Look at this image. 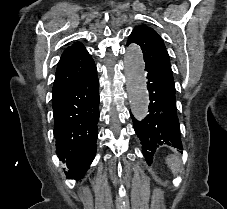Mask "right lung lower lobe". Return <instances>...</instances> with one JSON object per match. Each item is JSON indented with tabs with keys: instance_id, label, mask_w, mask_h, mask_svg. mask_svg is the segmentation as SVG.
Segmentation results:
<instances>
[{
	"instance_id": "98d812e1",
	"label": "right lung lower lobe",
	"mask_w": 227,
	"mask_h": 209,
	"mask_svg": "<svg viewBox=\"0 0 227 209\" xmlns=\"http://www.w3.org/2000/svg\"><path fill=\"white\" fill-rule=\"evenodd\" d=\"M79 79L60 95L52 97L56 153L66 163L69 179H81L96 154L99 121V80L93 63L86 67L66 66L58 77Z\"/></svg>"
}]
</instances>
